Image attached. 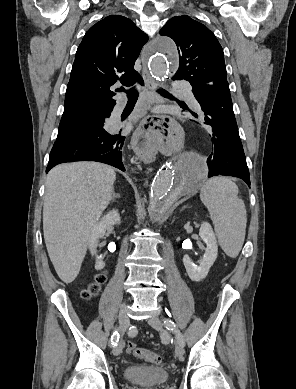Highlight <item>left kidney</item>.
Returning a JSON list of instances; mask_svg holds the SVG:
<instances>
[{"mask_svg":"<svg viewBox=\"0 0 296 389\" xmlns=\"http://www.w3.org/2000/svg\"><path fill=\"white\" fill-rule=\"evenodd\" d=\"M199 236L206 244L205 253L199 265L194 264L189 255H184L183 257L186 272L189 278L194 282H199L206 278L218 254L217 240L213 229L208 222H203L201 224Z\"/></svg>","mask_w":296,"mask_h":389,"instance_id":"5707ae66","label":"left kidney"}]
</instances>
